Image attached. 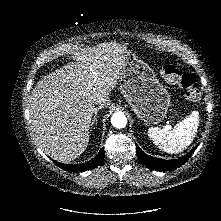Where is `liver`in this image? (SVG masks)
I'll use <instances>...</instances> for the list:
<instances>
[{
    "mask_svg": "<svg viewBox=\"0 0 221 221\" xmlns=\"http://www.w3.org/2000/svg\"><path fill=\"white\" fill-rule=\"evenodd\" d=\"M126 50L117 42L82 49L75 53L74 63L37 83L28 104L31 130L47 155L70 162L86 150L95 99L108 97L116 87Z\"/></svg>",
    "mask_w": 221,
    "mask_h": 221,
    "instance_id": "1",
    "label": "liver"
}]
</instances>
